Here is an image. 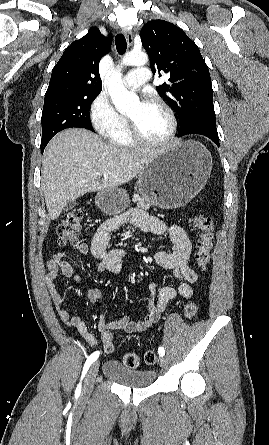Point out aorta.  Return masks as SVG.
<instances>
[{
  "label": "aorta",
  "mask_w": 269,
  "mask_h": 445,
  "mask_svg": "<svg viewBox=\"0 0 269 445\" xmlns=\"http://www.w3.org/2000/svg\"><path fill=\"white\" fill-rule=\"evenodd\" d=\"M148 62V56L144 52L131 51L127 53L121 62L122 66H143ZM121 67L115 71L109 81V94L117 111L123 113L139 104V97L129 92L123 85Z\"/></svg>",
  "instance_id": "1"
}]
</instances>
